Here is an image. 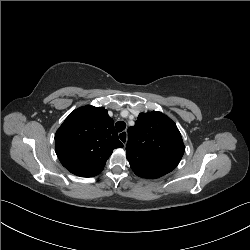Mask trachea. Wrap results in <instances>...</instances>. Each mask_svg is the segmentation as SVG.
Segmentation results:
<instances>
[{
    "instance_id": "obj_1",
    "label": "trachea",
    "mask_w": 250,
    "mask_h": 250,
    "mask_svg": "<svg viewBox=\"0 0 250 250\" xmlns=\"http://www.w3.org/2000/svg\"><path fill=\"white\" fill-rule=\"evenodd\" d=\"M115 127L118 132H122L126 128V123L124 121H118Z\"/></svg>"
}]
</instances>
